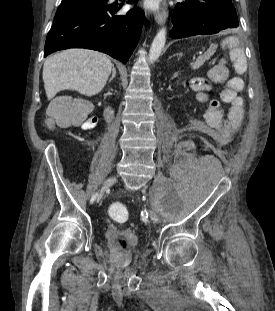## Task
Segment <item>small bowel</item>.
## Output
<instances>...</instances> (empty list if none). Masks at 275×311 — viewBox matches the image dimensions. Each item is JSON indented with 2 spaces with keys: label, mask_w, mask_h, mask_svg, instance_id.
<instances>
[{
  "label": "small bowel",
  "mask_w": 275,
  "mask_h": 311,
  "mask_svg": "<svg viewBox=\"0 0 275 311\" xmlns=\"http://www.w3.org/2000/svg\"><path fill=\"white\" fill-rule=\"evenodd\" d=\"M221 45L226 46L225 50H222L224 61H220V65H210L208 80L205 79L204 73H197V80H187L186 86L189 87V93H197L195 106L203 108L202 120L208 129H213V133H216L215 143H228L229 139H234V133H239L242 127L239 121L242 118L243 100L241 97H236L231 102L230 118L225 119V110L212 92V87H224L228 79L225 73V62H234L235 57H246V50H241L240 41L236 37L223 39ZM97 123L98 118L90 116L78 125L82 130H91L96 127Z\"/></svg>",
  "instance_id": "small-bowel-1"
}]
</instances>
